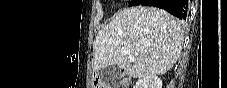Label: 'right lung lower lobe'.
<instances>
[{
    "label": "right lung lower lobe",
    "mask_w": 227,
    "mask_h": 88,
    "mask_svg": "<svg viewBox=\"0 0 227 88\" xmlns=\"http://www.w3.org/2000/svg\"><path fill=\"white\" fill-rule=\"evenodd\" d=\"M139 4L162 8L183 20L187 18L188 0H141Z\"/></svg>",
    "instance_id": "right-lung-lower-lobe-1"
}]
</instances>
